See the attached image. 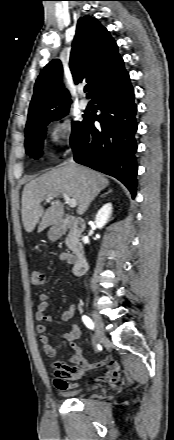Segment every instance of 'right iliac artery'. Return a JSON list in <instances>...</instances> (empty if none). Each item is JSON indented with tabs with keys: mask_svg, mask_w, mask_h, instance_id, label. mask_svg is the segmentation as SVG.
Listing matches in <instances>:
<instances>
[{
	"mask_svg": "<svg viewBox=\"0 0 174 440\" xmlns=\"http://www.w3.org/2000/svg\"><path fill=\"white\" fill-rule=\"evenodd\" d=\"M82 320H83V322H84V324L89 328V329H94V323L92 322V320L88 317V316H86V315H83L82 316Z\"/></svg>",
	"mask_w": 174,
	"mask_h": 440,
	"instance_id": "obj_1",
	"label": "right iliac artery"
}]
</instances>
